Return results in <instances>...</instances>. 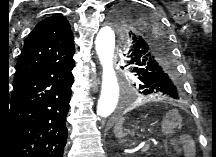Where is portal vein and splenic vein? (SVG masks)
<instances>
[{
	"label": "portal vein and splenic vein",
	"mask_w": 216,
	"mask_h": 157,
	"mask_svg": "<svg viewBox=\"0 0 216 157\" xmlns=\"http://www.w3.org/2000/svg\"><path fill=\"white\" fill-rule=\"evenodd\" d=\"M148 148H149L148 145L141 144V145H139L136 149H137V150L142 149L143 151H146Z\"/></svg>",
	"instance_id": "1"
}]
</instances>
